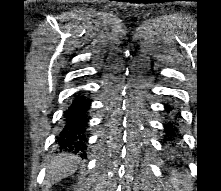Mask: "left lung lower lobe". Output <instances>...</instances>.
<instances>
[{"instance_id":"left-lung-lower-lobe-1","label":"left lung lower lobe","mask_w":221,"mask_h":191,"mask_svg":"<svg viewBox=\"0 0 221 191\" xmlns=\"http://www.w3.org/2000/svg\"><path fill=\"white\" fill-rule=\"evenodd\" d=\"M173 107L165 105V110L168 114L173 111ZM181 116L176 113H172L168 120L164 123L165 136L163 145L167 146L168 151L174 153L176 151L177 143L181 139L179 131V119Z\"/></svg>"}]
</instances>
